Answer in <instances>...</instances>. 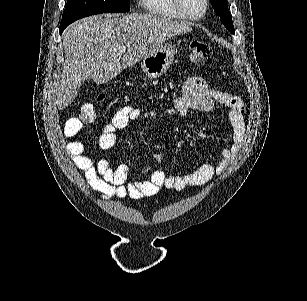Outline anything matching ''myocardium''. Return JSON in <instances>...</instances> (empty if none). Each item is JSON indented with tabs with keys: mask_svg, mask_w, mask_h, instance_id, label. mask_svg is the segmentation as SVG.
<instances>
[{
	"mask_svg": "<svg viewBox=\"0 0 307 301\" xmlns=\"http://www.w3.org/2000/svg\"><path fill=\"white\" fill-rule=\"evenodd\" d=\"M184 0H176L173 2V8L175 15L177 17H182V22H200L201 17H204L206 13L207 0H200L201 3L198 5V8L195 10V13L192 10H182L184 5L182 4Z\"/></svg>",
	"mask_w": 307,
	"mask_h": 301,
	"instance_id": "myocardium-1",
	"label": "myocardium"
}]
</instances>
